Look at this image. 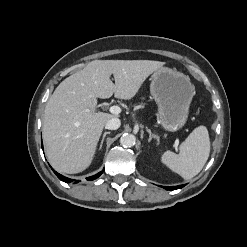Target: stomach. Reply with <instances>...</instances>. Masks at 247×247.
<instances>
[{
    "label": "stomach",
    "instance_id": "0dacf381",
    "mask_svg": "<svg viewBox=\"0 0 247 247\" xmlns=\"http://www.w3.org/2000/svg\"><path fill=\"white\" fill-rule=\"evenodd\" d=\"M150 91L157 103V117L164 129L177 131L188 118L189 107L195 94L187 75L168 67L154 72Z\"/></svg>",
    "mask_w": 247,
    "mask_h": 247
}]
</instances>
